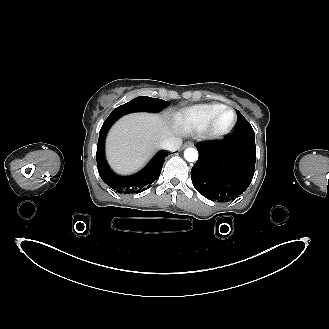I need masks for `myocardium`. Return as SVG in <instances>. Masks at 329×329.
Segmentation results:
<instances>
[{
  "label": "myocardium",
  "instance_id": "obj_1",
  "mask_svg": "<svg viewBox=\"0 0 329 329\" xmlns=\"http://www.w3.org/2000/svg\"><path fill=\"white\" fill-rule=\"evenodd\" d=\"M226 111H230L233 114V122L231 123V125L225 129H220L217 127V121L219 119V117L222 115V113L226 112ZM237 123V113L235 111L234 108L229 107V106H224L221 109H219L209 120V122L207 123V125L205 126V128L203 129V131L212 137L215 136H222V135H226L228 133H230L233 128L235 127Z\"/></svg>",
  "mask_w": 329,
  "mask_h": 329
}]
</instances>
